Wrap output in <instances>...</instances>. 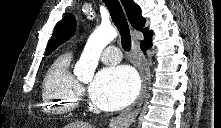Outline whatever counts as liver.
Returning a JSON list of instances; mask_svg holds the SVG:
<instances>
[{
	"label": "liver",
	"instance_id": "1",
	"mask_svg": "<svg viewBox=\"0 0 221 128\" xmlns=\"http://www.w3.org/2000/svg\"><path fill=\"white\" fill-rule=\"evenodd\" d=\"M65 128H92V126L84 122H75L68 124Z\"/></svg>",
	"mask_w": 221,
	"mask_h": 128
}]
</instances>
